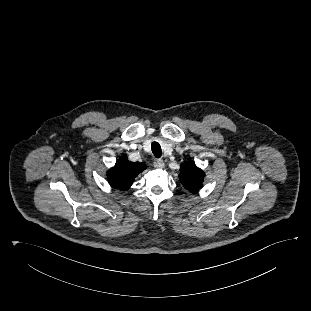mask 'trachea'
<instances>
[{
	"mask_svg": "<svg viewBox=\"0 0 311 311\" xmlns=\"http://www.w3.org/2000/svg\"><path fill=\"white\" fill-rule=\"evenodd\" d=\"M151 150L156 158H160L162 155L161 146L158 142H153L151 144Z\"/></svg>",
	"mask_w": 311,
	"mask_h": 311,
	"instance_id": "3493384b",
	"label": "trachea"
}]
</instances>
